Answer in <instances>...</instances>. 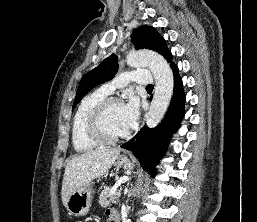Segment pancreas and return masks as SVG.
Here are the masks:
<instances>
[{"instance_id": "pancreas-1", "label": "pancreas", "mask_w": 257, "mask_h": 222, "mask_svg": "<svg viewBox=\"0 0 257 222\" xmlns=\"http://www.w3.org/2000/svg\"><path fill=\"white\" fill-rule=\"evenodd\" d=\"M113 190L112 187L104 186L100 197H99V204L103 207L108 206L111 202L115 203L116 199L120 197L121 189L116 191L114 194H111Z\"/></svg>"}]
</instances>
